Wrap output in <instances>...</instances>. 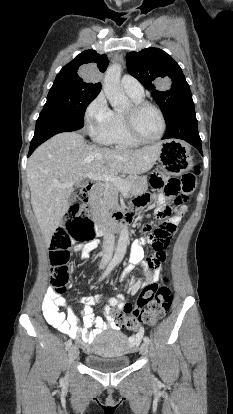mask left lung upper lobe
Wrapping results in <instances>:
<instances>
[{
  "label": "left lung upper lobe",
  "instance_id": "left-lung-upper-lobe-1",
  "mask_svg": "<svg viewBox=\"0 0 233 414\" xmlns=\"http://www.w3.org/2000/svg\"><path fill=\"white\" fill-rule=\"evenodd\" d=\"M126 62L129 73L152 92L166 123L179 108L193 102L180 66L163 50L146 48L130 52Z\"/></svg>",
  "mask_w": 233,
  "mask_h": 414
}]
</instances>
